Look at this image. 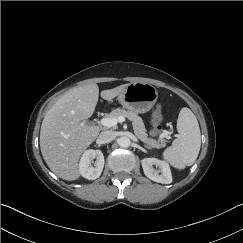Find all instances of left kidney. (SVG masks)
<instances>
[{
  "label": "left kidney",
  "instance_id": "5707ae66",
  "mask_svg": "<svg viewBox=\"0 0 243 243\" xmlns=\"http://www.w3.org/2000/svg\"><path fill=\"white\" fill-rule=\"evenodd\" d=\"M141 164L144 174L152 181L162 184H169L172 182L171 170L165 161L156 158H144ZM153 165L159 167V170H154Z\"/></svg>",
  "mask_w": 243,
  "mask_h": 243
}]
</instances>
